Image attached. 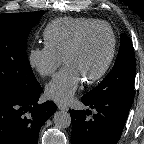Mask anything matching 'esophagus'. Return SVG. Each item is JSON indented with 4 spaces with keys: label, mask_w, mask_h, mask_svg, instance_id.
Masks as SVG:
<instances>
[{
    "label": "esophagus",
    "mask_w": 144,
    "mask_h": 144,
    "mask_svg": "<svg viewBox=\"0 0 144 144\" xmlns=\"http://www.w3.org/2000/svg\"><path fill=\"white\" fill-rule=\"evenodd\" d=\"M57 107H58V109L61 110V111H68V107L65 106L64 104L58 103V104H57Z\"/></svg>",
    "instance_id": "obj_1"
}]
</instances>
